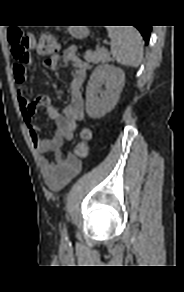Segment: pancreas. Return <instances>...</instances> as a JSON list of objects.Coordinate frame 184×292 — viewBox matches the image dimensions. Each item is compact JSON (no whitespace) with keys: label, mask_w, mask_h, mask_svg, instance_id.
Instances as JSON below:
<instances>
[{"label":"pancreas","mask_w":184,"mask_h":292,"mask_svg":"<svg viewBox=\"0 0 184 292\" xmlns=\"http://www.w3.org/2000/svg\"><path fill=\"white\" fill-rule=\"evenodd\" d=\"M83 58L87 62L94 64L109 62L111 60L109 53L106 50L86 51Z\"/></svg>","instance_id":"cf45deb5"}]
</instances>
